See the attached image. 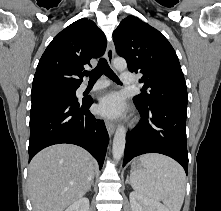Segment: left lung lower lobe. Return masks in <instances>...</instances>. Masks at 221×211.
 <instances>
[{
    "label": "left lung lower lobe",
    "instance_id": "0a47b994",
    "mask_svg": "<svg viewBox=\"0 0 221 211\" xmlns=\"http://www.w3.org/2000/svg\"><path fill=\"white\" fill-rule=\"evenodd\" d=\"M136 106L141 120L132 132L127 133L123 166L138 155L160 153L179 162L187 174V105L163 103L149 108Z\"/></svg>",
    "mask_w": 221,
    "mask_h": 211
}]
</instances>
